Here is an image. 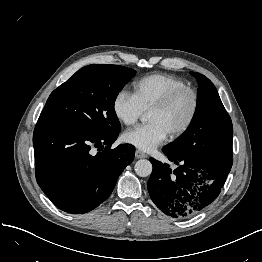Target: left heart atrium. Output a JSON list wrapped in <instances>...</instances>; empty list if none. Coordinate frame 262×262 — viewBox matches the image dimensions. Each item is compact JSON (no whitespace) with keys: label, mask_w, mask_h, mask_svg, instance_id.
<instances>
[{"label":"left heart atrium","mask_w":262,"mask_h":262,"mask_svg":"<svg viewBox=\"0 0 262 262\" xmlns=\"http://www.w3.org/2000/svg\"><path fill=\"white\" fill-rule=\"evenodd\" d=\"M168 133L157 122H150L127 130L123 139L143 151H150L166 141Z\"/></svg>","instance_id":"left-heart-atrium-1"}]
</instances>
